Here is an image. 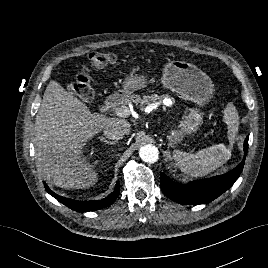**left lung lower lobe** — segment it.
<instances>
[{
  "label": "left lung lower lobe",
  "mask_w": 268,
  "mask_h": 268,
  "mask_svg": "<svg viewBox=\"0 0 268 268\" xmlns=\"http://www.w3.org/2000/svg\"><path fill=\"white\" fill-rule=\"evenodd\" d=\"M248 139L249 137L244 142L243 161L236 168L221 176L181 184L173 182L161 172L160 184L163 193L170 199L185 205H198L213 201L228 190L238 179L247 155Z\"/></svg>",
  "instance_id": "0a47b994"
}]
</instances>
